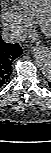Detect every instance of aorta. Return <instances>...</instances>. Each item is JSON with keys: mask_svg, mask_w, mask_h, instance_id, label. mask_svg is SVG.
I'll list each match as a JSON object with an SVG mask.
<instances>
[{"mask_svg": "<svg viewBox=\"0 0 51 153\" xmlns=\"http://www.w3.org/2000/svg\"><path fill=\"white\" fill-rule=\"evenodd\" d=\"M41 70L46 79L51 78V52L47 47H40L35 52Z\"/></svg>", "mask_w": 51, "mask_h": 153, "instance_id": "aorta-1", "label": "aorta"}]
</instances>
